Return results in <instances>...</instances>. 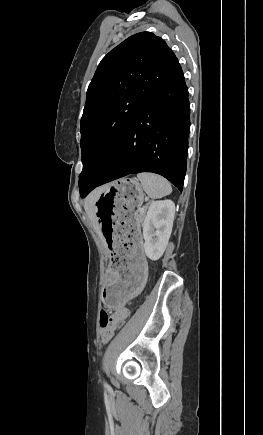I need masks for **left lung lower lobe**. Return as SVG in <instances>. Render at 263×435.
<instances>
[{
    "label": "left lung lower lobe",
    "mask_w": 263,
    "mask_h": 435,
    "mask_svg": "<svg viewBox=\"0 0 263 435\" xmlns=\"http://www.w3.org/2000/svg\"><path fill=\"white\" fill-rule=\"evenodd\" d=\"M189 114L188 89L179 66L133 120L115 156L87 194L104 183L140 172L160 174L182 191Z\"/></svg>",
    "instance_id": "left-lung-lower-lobe-1"
}]
</instances>
